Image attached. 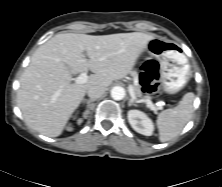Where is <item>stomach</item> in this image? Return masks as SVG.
Segmentation results:
<instances>
[{
  "label": "stomach",
  "mask_w": 222,
  "mask_h": 187,
  "mask_svg": "<svg viewBox=\"0 0 222 187\" xmlns=\"http://www.w3.org/2000/svg\"><path fill=\"white\" fill-rule=\"evenodd\" d=\"M152 58L158 60L162 84L168 93L180 91L190 80L191 69L182 47L166 38L155 36L146 48Z\"/></svg>",
  "instance_id": "stomach-1"
}]
</instances>
